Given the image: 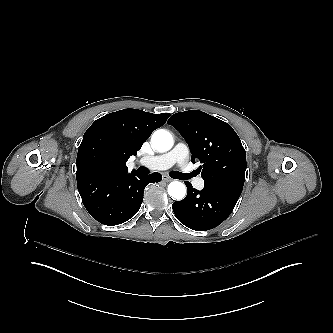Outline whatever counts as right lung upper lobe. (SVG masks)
<instances>
[{
  "instance_id": "cb5924a9",
  "label": "right lung upper lobe",
  "mask_w": 333,
  "mask_h": 333,
  "mask_svg": "<svg viewBox=\"0 0 333 333\" xmlns=\"http://www.w3.org/2000/svg\"><path fill=\"white\" fill-rule=\"evenodd\" d=\"M169 116V113L124 109L97 119L85 132L79 146L77 172L127 170L129 157L136 155L151 133Z\"/></svg>"
}]
</instances>
